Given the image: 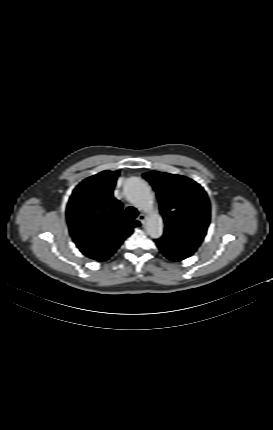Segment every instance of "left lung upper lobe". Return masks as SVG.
Returning a JSON list of instances; mask_svg holds the SVG:
<instances>
[{
    "label": "left lung upper lobe",
    "mask_w": 273,
    "mask_h": 430,
    "mask_svg": "<svg viewBox=\"0 0 273 430\" xmlns=\"http://www.w3.org/2000/svg\"><path fill=\"white\" fill-rule=\"evenodd\" d=\"M155 189L165 222L163 236L156 239L168 258L191 256L202 243L210 221V204L204 189L177 174L151 171L143 174Z\"/></svg>",
    "instance_id": "5c2ea615"
}]
</instances>
